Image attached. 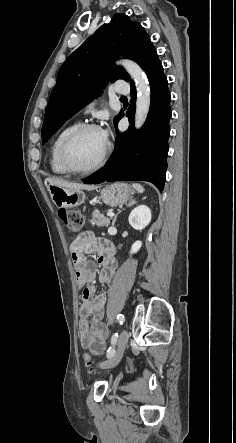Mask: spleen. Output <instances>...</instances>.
Instances as JSON below:
<instances>
[{"label":"spleen","mask_w":236,"mask_h":443,"mask_svg":"<svg viewBox=\"0 0 236 443\" xmlns=\"http://www.w3.org/2000/svg\"><path fill=\"white\" fill-rule=\"evenodd\" d=\"M132 186L137 192H140V193L144 192V188L142 185L134 183Z\"/></svg>","instance_id":"3e777b00"}]
</instances>
